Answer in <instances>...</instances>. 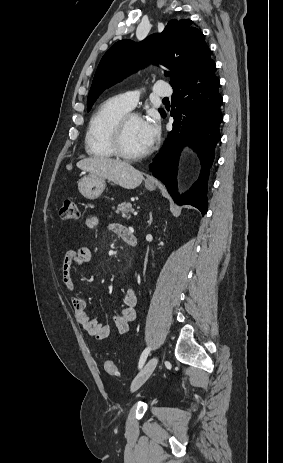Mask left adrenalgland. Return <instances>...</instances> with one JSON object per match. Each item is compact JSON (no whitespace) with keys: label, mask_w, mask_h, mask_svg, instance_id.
I'll list each match as a JSON object with an SVG mask.
<instances>
[{"label":"left adrenal gland","mask_w":283,"mask_h":463,"mask_svg":"<svg viewBox=\"0 0 283 463\" xmlns=\"http://www.w3.org/2000/svg\"><path fill=\"white\" fill-rule=\"evenodd\" d=\"M152 220H153L152 212H150V214H149V221H148V225H149V226L151 225Z\"/></svg>","instance_id":"1"}]
</instances>
